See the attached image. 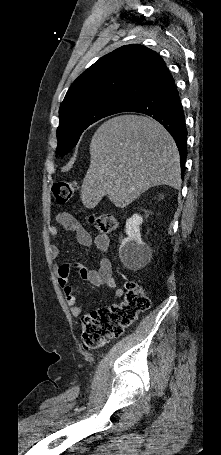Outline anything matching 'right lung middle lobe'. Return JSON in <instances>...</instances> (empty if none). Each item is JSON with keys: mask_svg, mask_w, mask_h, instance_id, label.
<instances>
[{"mask_svg": "<svg viewBox=\"0 0 221 455\" xmlns=\"http://www.w3.org/2000/svg\"><path fill=\"white\" fill-rule=\"evenodd\" d=\"M125 108L126 106L117 102L105 101L83 106L60 116L56 156L66 155L77 144L88 126L104 117L123 112Z\"/></svg>", "mask_w": 221, "mask_h": 455, "instance_id": "obj_1", "label": "right lung middle lobe"}]
</instances>
